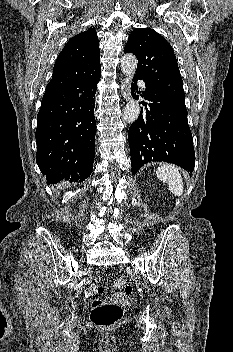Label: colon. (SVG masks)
Returning <instances> with one entry per match:
<instances>
[{"label":"colon","mask_w":233,"mask_h":352,"mask_svg":"<svg viewBox=\"0 0 233 352\" xmlns=\"http://www.w3.org/2000/svg\"><path fill=\"white\" fill-rule=\"evenodd\" d=\"M100 277H91L85 282V294L91 302L89 317L93 324L108 328L118 323L123 316V309L115 303L104 301L101 296L104 289L99 285ZM114 286L123 290L125 294L131 293V287L127 280L120 277L115 279Z\"/></svg>","instance_id":"1"}]
</instances>
